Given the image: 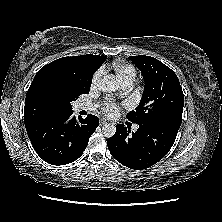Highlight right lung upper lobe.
I'll use <instances>...</instances> for the list:
<instances>
[{
  "mask_svg": "<svg viewBox=\"0 0 222 222\" xmlns=\"http://www.w3.org/2000/svg\"><path fill=\"white\" fill-rule=\"evenodd\" d=\"M107 56L86 54L57 59L42 67L35 75L25 98V127L45 117L68 111L59 101L47 97V90L56 73L79 81L92 80V75L104 63Z\"/></svg>",
  "mask_w": 222,
  "mask_h": 222,
  "instance_id": "1",
  "label": "right lung upper lobe"
}]
</instances>
